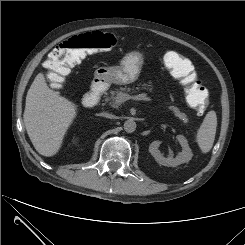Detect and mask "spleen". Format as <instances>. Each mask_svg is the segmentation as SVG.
<instances>
[{"label":"spleen","mask_w":245,"mask_h":245,"mask_svg":"<svg viewBox=\"0 0 245 245\" xmlns=\"http://www.w3.org/2000/svg\"><path fill=\"white\" fill-rule=\"evenodd\" d=\"M217 127V116L215 111H209L196 136V142L203 153H208L213 147Z\"/></svg>","instance_id":"spleen-1"}]
</instances>
